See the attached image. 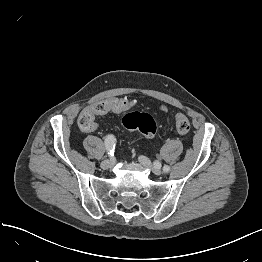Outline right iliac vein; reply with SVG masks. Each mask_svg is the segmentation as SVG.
<instances>
[{
	"label": "right iliac vein",
	"instance_id": "obj_1",
	"mask_svg": "<svg viewBox=\"0 0 262 262\" xmlns=\"http://www.w3.org/2000/svg\"><path fill=\"white\" fill-rule=\"evenodd\" d=\"M112 164H113L112 160L106 159V160H103V161L101 162V167H102L103 169H108V168H110V167L112 166Z\"/></svg>",
	"mask_w": 262,
	"mask_h": 262
}]
</instances>
